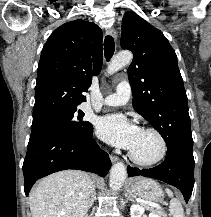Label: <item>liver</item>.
I'll use <instances>...</instances> for the list:
<instances>
[{
  "instance_id": "6515ba94",
  "label": "liver",
  "mask_w": 211,
  "mask_h": 217,
  "mask_svg": "<svg viewBox=\"0 0 211 217\" xmlns=\"http://www.w3.org/2000/svg\"><path fill=\"white\" fill-rule=\"evenodd\" d=\"M93 189L88 173L64 170L51 174L30 192L32 217H86Z\"/></svg>"
}]
</instances>
